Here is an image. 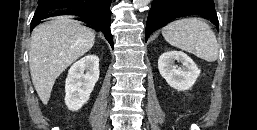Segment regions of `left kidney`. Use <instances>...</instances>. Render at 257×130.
Segmentation results:
<instances>
[{
  "label": "left kidney",
  "mask_w": 257,
  "mask_h": 130,
  "mask_svg": "<svg viewBox=\"0 0 257 130\" xmlns=\"http://www.w3.org/2000/svg\"><path fill=\"white\" fill-rule=\"evenodd\" d=\"M175 61L180 62L182 67L175 66ZM158 69L168 85L178 91L190 89L200 75L194 61L181 51L163 53L158 59Z\"/></svg>",
  "instance_id": "obj_1"
}]
</instances>
